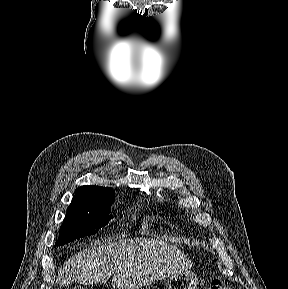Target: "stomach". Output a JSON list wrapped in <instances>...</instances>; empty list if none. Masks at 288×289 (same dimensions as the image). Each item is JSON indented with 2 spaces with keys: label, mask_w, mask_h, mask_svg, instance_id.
Masks as SVG:
<instances>
[{
  "label": "stomach",
  "mask_w": 288,
  "mask_h": 289,
  "mask_svg": "<svg viewBox=\"0 0 288 289\" xmlns=\"http://www.w3.org/2000/svg\"><path fill=\"white\" fill-rule=\"evenodd\" d=\"M167 284L168 289H197V278L193 272L185 270L172 274Z\"/></svg>",
  "instance_id": "obj_1"
}]
</instances>
